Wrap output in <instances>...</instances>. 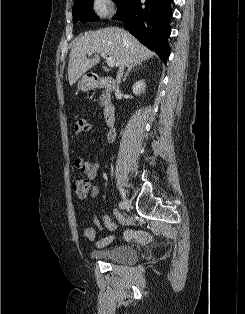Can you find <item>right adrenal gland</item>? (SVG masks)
Segmentation results:
<instances>
[{
	"label": "right adrenal gland",
	"instance_id": "obj_1",
	"mask_svg": "<svg viewBox=\"0 0 245 314\" xmlns=\"http://www.w3.org/2000/svg\"><path fill=\"white\" fill-rule=\"evenodd\" d=\"M135 66H136V65H131V66L128 67V70H127V72L125 73V75H124V77H123V82H125V80H126L128 74L132 71V69H133ZM134 71H135V70H134Z\"/></svg>",
	"mask_w": 245,
	"mask_h": 314
}]
</instances>
